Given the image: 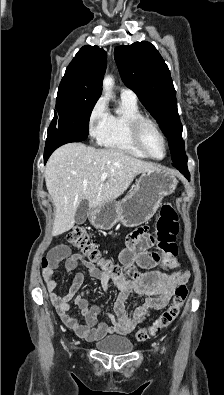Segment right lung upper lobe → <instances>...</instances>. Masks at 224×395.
<instances>
[{
	"instance_id": "1",
	"label": "right lung upper lobe",
	"mask_w": 224,
	"mask_h": 395,
	"mask_svg": "<svg viewBox=\"0 0 224 395\" xmlns=\"http://www.w3.org/2000/svg\"><path fill=\"white\" fill-rule=\"evenodd\" d=\"M106 57L103 48L82 47L68 65L60 86L101 95Z\"/></svg>"
}]
</instances>
